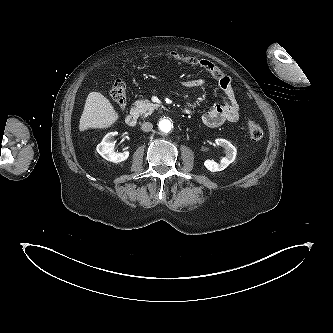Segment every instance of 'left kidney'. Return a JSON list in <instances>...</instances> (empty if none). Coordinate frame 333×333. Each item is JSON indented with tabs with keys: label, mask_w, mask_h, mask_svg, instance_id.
<instances>
[{
	"label": "left kidney",
	"mask_w": 333,
	"mask_h": 333,
	"mask_svg": "<svg viewBox=\"0 0 333 333\" xmlns=\"http://www.w3.org/2000/svg\"><path fill=\"white\" fill-rule=\"evenodd\" d=\"M216 144L226 150V156L223 157L219 163L213 160H206L204 162V166L211 172L222 171L228 167L230 163H232L237 154V150L235 146H233L229 141L225 139H216Z\"/></svg>",
	"instance_id": "1"
}]
</instances>
